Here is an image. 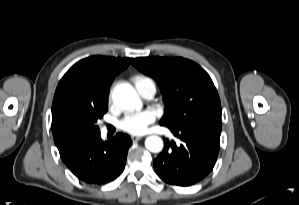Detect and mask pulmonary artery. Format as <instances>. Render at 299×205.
<instances>
[{
  "instance_id": "e3ab8cb5",
  "label": "pulmonary artery",
  "mask_w": 299,
  "mask_h": 205,
  "mask_svg": "<svg viewBox=\"0 0 299 205\" xmlns=\"http://www.w3.org/2000/svg\"><path fill=\"white\" fill-rule=\"evenodd\" d=\"M138 92L142 97L150 99L156 93V86L152 80H146L140 85Z\"/></svg>"
}]
</instances>
